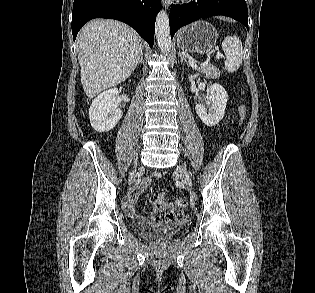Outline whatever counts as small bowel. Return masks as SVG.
<instances>
[{
    "label": "small bowel",
    "instance_id": "c3829d8e",
    "mask_svg": "<svg viewBox=\"0 0 315 293\" xmlns=\"http://www.w3.org/2000/svg\"><path fill=\"white\" fill-rule=\"evenodd\" d=\"M161 177V174L158 172L153 173L146 179H144L130 194V196L127 198V200L124 203V209L126 213L134 218H139L138 213L135 210V203L137 201L138 196L144 191V189L153 181L154 179H159ZM171 209V205L166 202L165 195L163 193H160L155 202H154V208L152 212V219L153 220H159L161 218L162 213L168 211ZM183 213L182 211H172L168 215V219L171 221L179 220L182 218Z\"/></svg>",
    "mask_w": 315,
    "mask_h": 293
}]
</instances>
